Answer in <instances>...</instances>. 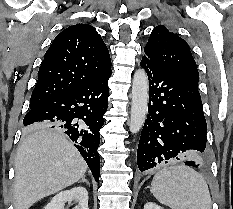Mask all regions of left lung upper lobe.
I'll return each mask as SVG.
<instances>
[{"mask_svg":"<svg viewBox=\"0 0 233 209\" xmlns=\"http://www.w3.org/2000/svg\"><path fill=\"white\" fill-rule=\"evenodd\" d=\"M145 56L160 65L178 70L197 81L199 74L196 62L186 41L159 25L153 29L144 48Z\"/></svg>","mask_w":233,"mask_h":209,"instance_id":"left-lung-upper-lobe-1","label":"left lung upper lobe"}]
</instances>
